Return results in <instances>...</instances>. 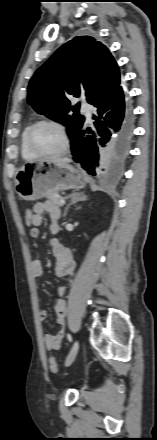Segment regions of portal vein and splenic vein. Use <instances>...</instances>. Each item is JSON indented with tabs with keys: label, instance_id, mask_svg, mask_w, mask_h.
Listing matches in <instances>:
<instances>
[{
	"label": "portal vein and splenic vein",
	"instance_id": "obj_1",
	"mask_svg": "<svg viewBox=\"0 0 157 440\" xmlns=\"http://www.w3.org/2000/svg\"><path fill=\"white\" fill-rule=\"evenodd\" d=\"M60 204L64 205L65 204V200L64 199H60Z\"/></svg>",
	"mask_w": 157,
	"mask_h": 440
}]
</instances>
